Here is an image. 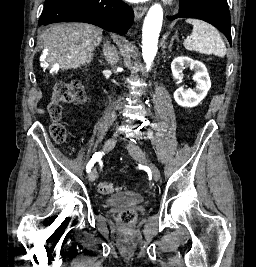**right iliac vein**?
<instances>
[{
	"label": "right iliac vein",
	"instance_id": "63e3f726",
	"mask_svg": "<svg viewBox=\"0 0 256 267\" xmlns=\"http://www.w3.org/2000/svg\"><path fill=\"white\" fill-rule=\"evenodd\" d=\"M115 143H116V136H112L111 138L107 139L103 145V151L104 152L109 151L114 147ZM88 178L90 181H94L97 178L96 169H92V171H90Z\"/></svg>",
	"mask_w": 256,
	"mask_h": 267
}]
</instances>
